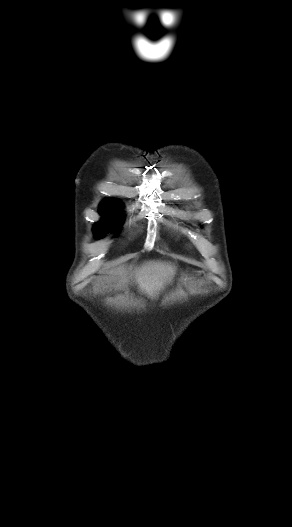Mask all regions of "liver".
<instances>
[{
  "mask_svg": "<svg viewBox=\"0 0 292 527\" xmlns=\"http://www.w3.org/2000/svg\"><path fill=\"white\" fill-rule=\"evenodd\" d=\"M175 267L164 261H147L131 272V277L138 284L139 289L149 297H155L166 283H170L175 275ZM123 277V269L114 272Z\"/></svg>",
  "mask_w": 292,
  "mask_h": 527,
  "instance_id": "1",
  "label": "liver"
}]
</instances>
